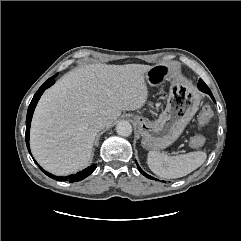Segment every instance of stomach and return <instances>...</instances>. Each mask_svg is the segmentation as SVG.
I'll use <instances>...</instances> for the list:
<instances>
[{
	"instance_id": "0dacf381",
	"label": "stomach",
	"mask_w": 241,
	"mask_h": 241,
	"mask_svg": "<svg viewBox=\"0 0 241 241\" xmlns=\"http://www.w3.org/2000/svg\"><path fill=\"white\" fill-rule=\"evenodd\" d=\"M175 68L159 63L150 68L145 78L150 86L160 87L170 82L165 110L155 121L135 116L134 122L142 136V147L159 151L174 143L198 110L200 95L183 81H175Z\"/></svg>"
}]
</instances>
